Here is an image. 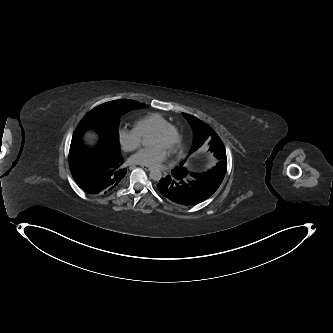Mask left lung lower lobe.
<instances>
[{
	"instance_id": "left-lung-lower-lobe-1",
	"label": "left lung lower lobe",
	"mask_w": 333,
	"mask_h": 333,
	"mask_svg": "<svg viewBox=\"0 0 333 333\" xmlns=\"http://www.w3.org/2000/svg\"><path fill=\"white\" fill-rule=\"evenodd\" d=\"M210 149L214 154H220V148L216 144L210 145ZM171 173L160 179L157 189L164 198L172 202L189 206L203 202L215 192L205 184L186 178L175 170Z\"/></svg>"
}]
</instances>
